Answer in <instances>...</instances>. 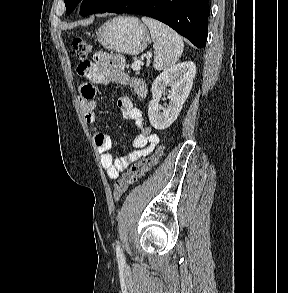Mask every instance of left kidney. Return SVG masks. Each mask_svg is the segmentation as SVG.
I'll list each match as a JSON object with an SVG mask.
<instances>
[{
  "instance_id": "left-kidney-1",
  "label": "left kidney",
  "mask_w": 288,
  "mask_h": 293,
  "mask_svg": "<svg viewBox=\"0 0 288 293\" xmlns=\"http://www.w3.org/2000/svg\"><path fill=\"white\" fill-rule=\"evenodd\" d=\"M195 74L196 65L188 61L166 69L154 80L148 116L155 129H166L177 119L189 96ZM167 87L171 88L167 96L168 104L161 107L159 102Z\"/></svg>"
}]
</instances>
